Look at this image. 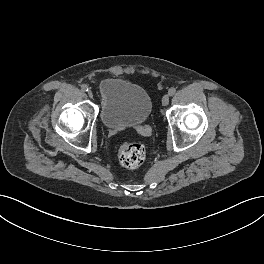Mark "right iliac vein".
Returning a JSON list of instances; mask_svg holds the SVG:
<instances>
[{
  "label": "right iliac vein",
  "mask_w": 264,
  "mask_h": 264,
  "mask_svg": "<svg viewBox=\"0 0 264 264\" xmlns=\"http://www.w3.org/2000/svg\"><path fill=\"white\" fill-rule=\"evenodd\" d=\"M88 96H89L90 98H93V92H92L91 90L88 91Z\"/></svg>",
  "instance_id": "1"
}]
</instances>
